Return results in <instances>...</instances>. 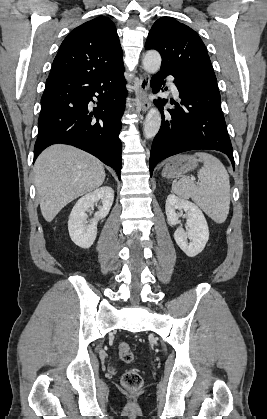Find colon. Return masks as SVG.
I'll return each instance as SVG.
<instances>
[{
    "label": "colon",
    "mask_w": 267,
    "mask_h": 419,
    "mask_svg": "<svg viewBox=\"0 0 267 419\" xmlns=\"http://www.w3.org/2000/svg\"><path fill=\"white\" fill-rule=\"evenodd\" d=\"M117 349L124 362L130 363L133 361L134 355L128 343L120 342ZM122 384L126 389L138 390L143 384V379L136 369H128L122 376Z\"/></svg>",
    "instance_id": "colon-1"
}]
</instances>
